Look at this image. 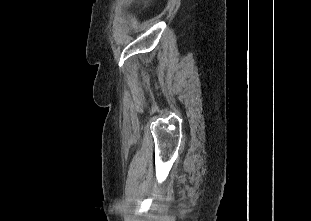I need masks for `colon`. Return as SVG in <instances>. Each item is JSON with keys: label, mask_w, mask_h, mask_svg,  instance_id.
<instances>
[{"label": "colon", "mask_w": 311, "mask_h": 221, "mask_svg": "<svg viewBox=\"0 0 311 221\" xmlns=\"http://www.w3.org/2000/svg\"><path fill=\"white\" fill-rule=\"evenodd\" d=\"M147 2H149V0H147ZM124 6L125 8H132L133 3L132 1H125Z\"/></svg>", "instance_id": "1"}]
</instances>
